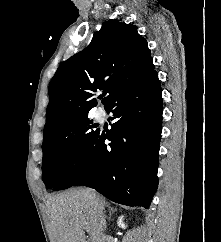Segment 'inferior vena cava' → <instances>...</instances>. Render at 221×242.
I'll use <instances>...</instances> for the list:
<instances>
[{"instance_id": "1", "label": "inferior vena cava", "mask_w": 221, "mask_h": 242, "mask_svg": "<svg viewBox=\"0 0 221 242\" xmlns=\"http://www.w3.org/2000/svg\"><path fill=\"white\" fill-rule=\"evenodd\" d=\"M90 197H92V199H94L95 204H98L97 201L95 200V193L90 194ZM100 223H101V227L102 230L106 229V220H105V215L103 213V211L100 212ZM108 239V237L104 234H102L101 237V242H105Z\"/></svg>"}]
</instances>
